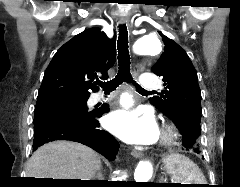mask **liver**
Wrapping results in <instances>:
<instances>
[{"label": "liver", "mask_w": 240, "mask_h": 187, "mask_svg": "<svg viewBox=\"0 0 240 187\" xmlns=\"http://www.w3.org/2000/svg\"><path fill=\"white\" fill-rule=\"evenodd\" d=\"M101 160L91 148L59 140L38 148L27 164V178L92 180Z\"/></svg>", "instance_id": "1"}]
</instances>
